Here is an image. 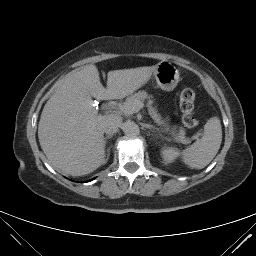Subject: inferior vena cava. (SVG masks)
<instances>
[{"label": "inferior vena cava", "instance_id": "1", "mask_svg": "<svg viewBox=\"0 0 256 256\" xmlns=\"http://www.w3.org/2000/svg\"><path fill=\"white\" fill-rule=\"evenodd\" d=\"M121 124V117L117 114H109L104 117L103 129L106 134L116 133Z\"/></svg>", "mask_w": 256, "mask_h": 256}]
</instances>
